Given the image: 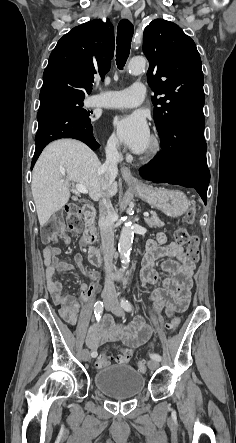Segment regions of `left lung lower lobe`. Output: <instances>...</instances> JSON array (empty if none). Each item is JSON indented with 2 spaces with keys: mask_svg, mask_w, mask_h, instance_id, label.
I'll return each instance as SVG.
<instances>
[{
  "mask_svg": "<svg viewBox=\"0 0 236 443\" xmlns=\"http://www.w3.org/2000/svg\"><path fill=\"white\" fill-rule=\"evenodd\" d=\"M203 111L187 110L173 117L159 133L162 151L151 165L140 168L142 178L194 188L204 203L210 171L207 167Z\"/></svg>",
  "mask_w": 236,
  "mask_h": 443,
  "instance_id": "1",
  "label": "left lung lower lobe"
}]
</instances>
